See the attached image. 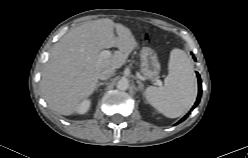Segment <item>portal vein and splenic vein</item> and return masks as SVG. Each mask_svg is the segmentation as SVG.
I'll return each mask as SVG.
<instances>
[{
  "instance_id": "1",
  "label": "portal vein and splenic vein",
  "mask_w": 248,
  "mask_h": 158,
  "mask_svg": "<svg viewBox=\"0 0 248 158\" xmlns=\"http://www.w3.org/2000/svg\"><path fill=\"white\" fill-rule=\"evenodd\" d=\"M110 55H111V52H110L109 50H103V51H101V53H100V56L103 57V58H108ZM157 84H158L159 86H161V85H162V82H161L160 80H158V81H157Z\"/></svg>"
}]
</instances>
